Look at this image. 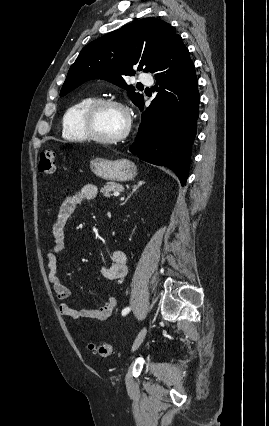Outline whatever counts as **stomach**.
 Segmentation results:
<instances>
[{
    "mask_svg": "<svg viewBox=\"0 0 269 426\" xmlns=\"http://www.w3.org/2000/svg\"><path fill=\"white\" fill-rule=\"evenodd\" d=\"M90 168L96 176L109 181H129L137 174L135 164L124 158L113 161L95 158L90 161Z\"/></svg>",
    "mask_w": 269,
    "mask_h": 426,
    "instance_id": "stomach-1",
    "label": "stomach"
}]
</instances>
